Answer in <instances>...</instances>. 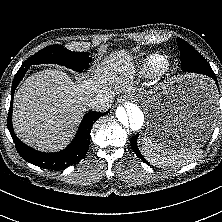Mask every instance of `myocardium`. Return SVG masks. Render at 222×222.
Returning <instances> with one entry per match:
<instances>
[{
  "label": "myocardium",
  "mask_w": 222,
  "mask_h": 222,
  "mask_svg": "<svg viewBox=\"0 0 222 222\" xmlns=\"http://www.w3.org/2000/svg\"><path fill=\"white\" fill-rule=\"evenodd\" d=\"M172 68V64L170 60L165 59L159 66L158 68V72L160 74H167L170 72Z\"/></svg>",
  "instance_id": "obj_1"
}]
</instances>
